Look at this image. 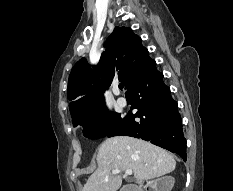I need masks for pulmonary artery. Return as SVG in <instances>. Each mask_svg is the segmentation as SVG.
<instances>
[{
    "mask_svg": "<svg viewBox=\"0 0 233 191\" xmlns=\"http://www.w3.org/2000/svg\"><path fill=\"white\" fill-rule=\"evenodd\" d=\"M116 94L119 96L120 92L117 90ZM117 103L119 104V106L124 107L127 104V100H126L125 97L119 96L118 99H117Z\"/></svg>",
    "mask_w": 233,
    "mask_h": 191,
    "instance_id": "e3ab8cb5",
    "label": "pulmonary artery"
}]
</instances>
